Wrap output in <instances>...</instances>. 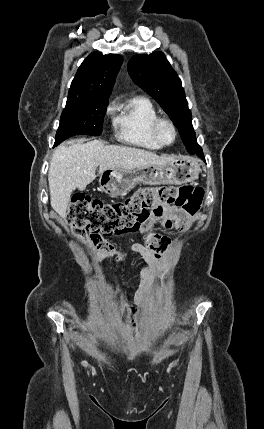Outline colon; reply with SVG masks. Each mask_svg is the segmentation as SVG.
I'll list each match as a JSON object with an SVG mask.
<instances>
[{
	"instance_id": "1",
	"label": "colon",
	"mask_w": 264,
	"mask_h": 429,
	"mask_svg": "<svg viewBox=\"0 0 264 429\" xmlns=\"http://www.w3.org/2000/svg\"><path fill=\"white\" fill-rule=\"evenodd\" d=\"M203 197L201 187L190 185L141 188L125 200L111 203L77 194L72 198L66 222L73 233L84 232L93 239L131 233L163 206H175L194 215L200 210ZM123 311L129 314L128 308Z\"/></svg>"
}]
</instances>
